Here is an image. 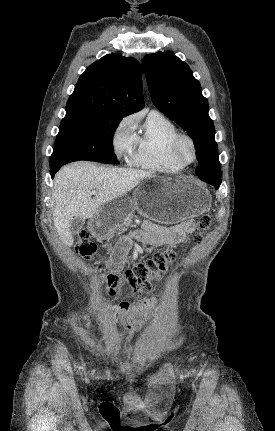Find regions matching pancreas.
<instances>
[{"mask_svg":"<svg viewBox=\"0 0 275 431\" xmlns=\"http://www.w3.org/2000/svg\"><path fill=\"white\" fill-rule=\"evenodd\" d=\"M132 222V215L128 216L125 218V220L123 221L122 225H121V229L128 227L130 225V223Z\"/></svg>","mask_w":275,"mask_h":431,"instance_id":"1","label":"pancreas"}]
</instances>
